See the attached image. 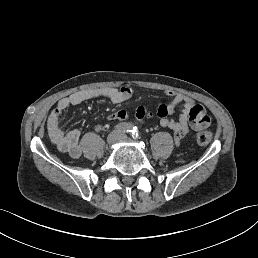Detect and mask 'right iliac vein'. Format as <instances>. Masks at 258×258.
<instances>
[{"instance_id":"obj_1","label":"right iliac vein","mask_w":258,"mask_h":258,"mask_svg":"<svg viewBox=\"0 0 258 258\" xmlns=\"http://www.w3.org/2000/svg\"><path fill=\"white\" fill-rule=\"evenodd\" d=\"M120 138H121L120 132L117 131V130H114V131H112V132L108 135V137H107V142H108L109 144H114V143H116L117 141H119Z\"/></svg>"}]
</instances>
